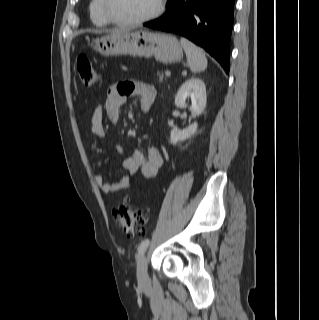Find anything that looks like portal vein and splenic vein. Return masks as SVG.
Returning <instances> with one entry per match:
<instances>
[{"label": "portal vein and splenic vein", "mask_w": 319, "mask_h": 320, "mask_svg": "<svg viewBox=\"0 0 319 320\" xmlns=\"http://www.w3.org/2000/svg\"><path fill=\"white\" fill-rule=\"evenodd\" d=\"M165 75H166L167 77H169V76L171 75V72H170V71H166V72H165Z\"/></svg>", "instance_id": "1"}]
</instances>
